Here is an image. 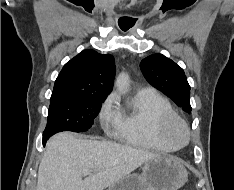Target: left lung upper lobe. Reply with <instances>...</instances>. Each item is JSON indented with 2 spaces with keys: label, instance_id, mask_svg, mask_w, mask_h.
Wrapping results in <instances>:
<instances>
[{
  "label": "left lung upper lobe",
  "instance_id": "5c2ea615",
  "mask_svg": "<svg viewBox=\"0 0 234 190\" xmlns=\"http://www.w3.org/2000/svg\"><path fill=\"white\" fill-rule=\"evenodd\" d=\"M146 80L170 97L186 112H191L190 86L183 69L162 54H153L140 63Z\"/></svg>",
  "mask_w": 234,
  "mask_h": 190
}]
</instances>
